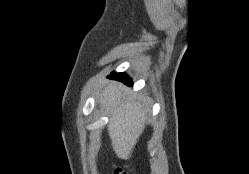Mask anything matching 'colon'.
<instances>
[{
    "instance_id": "colon-1",
    "label": "colon",
    "mask_w": 249,
    "mask_h": 174,
    "mask_svg": "<svg viewBox=\"0 0 249 174\" xmlns=\"http://www.w3.org/2000/svg\"><path fill=\"white\" fill-rule=\"evenodd\" d=\"M133 170L128 167H117L115 168L114 174H132Z\"/></svg>"
}]
</instances>
